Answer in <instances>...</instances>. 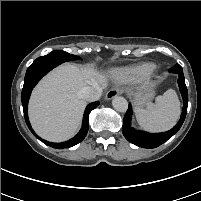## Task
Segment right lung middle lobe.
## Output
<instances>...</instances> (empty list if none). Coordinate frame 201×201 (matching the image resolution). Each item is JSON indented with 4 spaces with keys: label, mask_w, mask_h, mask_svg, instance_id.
I'll return each instance as SVG.
<instances>
[{
    "label": "right lung middle lobe",
    "mask_w": 201,
    "mask_h": 201,
    "mask_svg": "<svg viewBox=\"0 0 201 201\" xmlns=\"http://www.w3.org/2000/svg\"><path fill=\"white\" fill-rule=\"evenodd\" d=\"M50 56H58L59 58H64L66 59V61H70V60H79L81 59L78 56L75 55H71L69 53H66L64 51H52L50 54H48Z\"/></svg>",
    "instance_id": "obj_1"
}]
</instances>
